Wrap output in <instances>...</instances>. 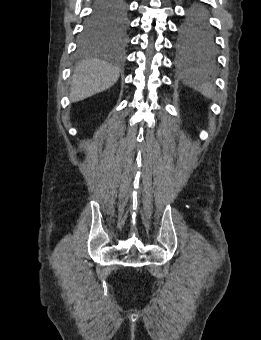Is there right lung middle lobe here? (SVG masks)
<instances>
[{"label": "right lung middle lobe", "mask_w": 261, "mask_h": 340, "mask_svg": "<svg viewBox=\"0 0 261 340\" xmlns=\"http://www.w3.org/2000/svg\"><path fill=\"white\" fill-rule=\"evenodd\" d=\"M127 28V10L117 15H99L92 12L84 24L80 44L88 47L104 40H123Z\"/></svg>", "instance_id": "obj_1"}]
</instances>
